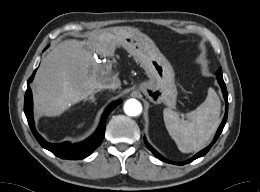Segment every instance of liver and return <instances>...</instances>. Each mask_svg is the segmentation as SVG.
I'll list each match as a JSON object with an SVG mask.
<instances>
[{
  "mask_svg": "<svg viewBox=\"0 0 260 192\" xmlns=\"http://www.w3.org/2000/svg\"><path fill=\"white\" fill-rule=\"evenodd\" d=\"M116 29H103L88 40H65L43 58L32 87L37 113L60 115L87 99L100 85L118 78L117 74H111L108 65L99 63L93 53L95 49L102 57L113 55Z\"/></svg>",
  "mask_w": 260,
  "mask_h": 192,
  "instance_id": "1",
  "label": "liver"
}]
</instances>
